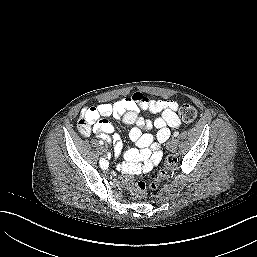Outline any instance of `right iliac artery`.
Instances as JSON below:
<instances>
[{
    "mask_svg": "<svg viewBox=\"0 0 257 257\" xmlns=\"http://www.w3.org/2000/svg\"><path fill=\"white\" fill-rule=\"evenodd\" d=\"M99 144H100V145H103L104 142H103L102 140H100V141H99ZM100 166H101L102 168L106 167V166H107V161L104 160V159L100 160Z\"/></svg>",
    "mask_w": 257,
    "mask_h": 257,
    "instance_id": "1",
    "label": "right iliac artery"
}]
</instances>
